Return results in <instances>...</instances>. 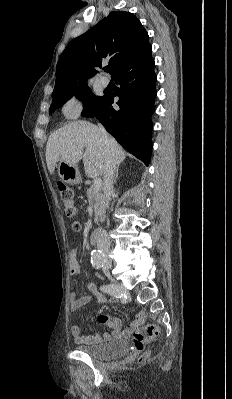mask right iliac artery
Masks as SVG:
<instances>
[{
  "label": "right iliac artery",
  "instance_id": "1",
  "mask_svg": "<svg viewBox=\"0 0 232 399\" xmlns=\"http://www.w3.org/2000/svg\"><path fill=\"white\" fill-rule=\"evenodd\" d=\"M91 264L94 268L99 269L105 264V256L104 255H92L91 256ZM100 291L104 293V286L100 287Z\"/></svg>",
  "mask_w": 232,
  "mask_h": 399
}]
</instances>
